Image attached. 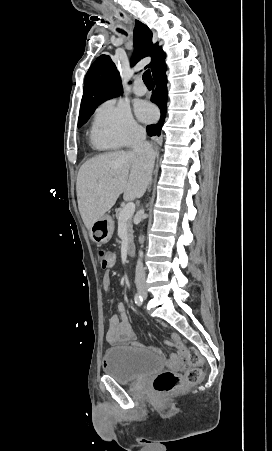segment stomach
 Masks as SVG:
<instances>
[{"mask_svg": "<svg viewBox=\"0 0 272 451\" xmlns=\"http://www.w3.org/2000/svg\"><path fill=\"white\" fill-rule=\"evenodd\" d=\"M113 231L114 222L111 216H102V218H99L92 224L89 229V235L97 245H102V243H107L111 239Z\"/></svg>", "mask_w": 272, "mask_h": 451, "instance_id": "obj_1", "label": "stomach"}]
</instances>
